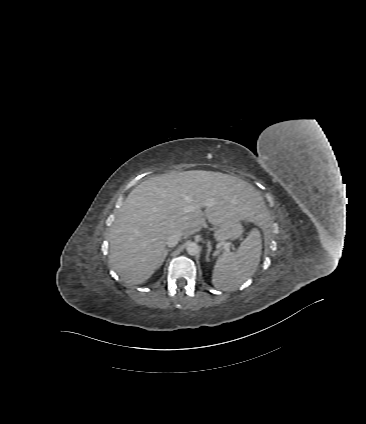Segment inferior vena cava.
Here are the masks:
<instances>
[{
	"instance_id": "inferior-vena-cava-1",
	"label": "inferior vena cava",
	"mask_w": 366,
	"mask_h": 424,
	"mask_svg": "<svg viewBox=\"0 0 366 424\" xmlns=\"http://www.w3.org/2000/svg\"><path fill=\"white\" fill-rule=\"evenodd\" d=\"M182 234L179 231H175L167 236L166 238V245L168 247H174L178 244V242L181 240Z\"/></svg>"
}]
</instances>
